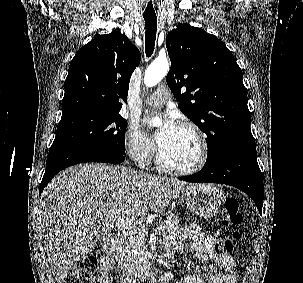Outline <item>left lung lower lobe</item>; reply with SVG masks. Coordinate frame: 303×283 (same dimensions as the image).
<instances>
[{"mask_svg":"<svg viewBox=\"0 0 303 283\" xmlns=\"http://www.w3.org/2000/svg\"><path fill=\"white\" fill-rule=\"evenodd\" d=\"M179 179L193 183L209 182L234 186L248 194L262 214L263 176L257 163L255 143L233 146L206 162L198 173Z\"/></svg>","mask_w":303,"mask_h":283,"instance_id":"1","label":"left lung lower lobe"}]
</instances>
